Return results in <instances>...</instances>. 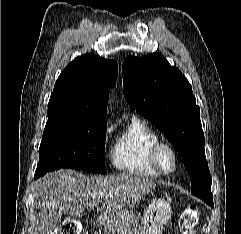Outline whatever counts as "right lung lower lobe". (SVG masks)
I'll list each match as a JSON object with an SVG mask.
<instances>
[{
    "mask_svg": "<svg viewBox=\"0 0 241 234\" xmlns=\"http://www.w3.org/2000/svg\"><path fill=\"white\" fill-rule=\"evenodd\" d=\"M38 177H39V176H37V175L34 176L35 179L38 178Z\"/></svg>",
    "mask_w": 241,
    "mask_h": 234,
    "instance_id": "1",
    "label": "right lung lower lobe"
}]
</instances>
